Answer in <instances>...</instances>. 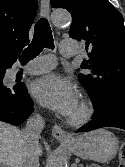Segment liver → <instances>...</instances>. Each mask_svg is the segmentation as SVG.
<instances>
[{
    "label": "liver",
    "instance_id": "obj_1",
    "mask_svg": "<svg viewBox=\"0 0 125 167\" xmlns=\"http://www.w3.org/2000/svg\"><path fill=\"white\" fill-rule=\"evenodd\" d=\"M39 155L42 153L38 145ZM24 144L22 132L15 126L0 121V167H22Z\"/></svg>",
    "mask_w": 125,
    "mask_h": 167
}]
</instances>
